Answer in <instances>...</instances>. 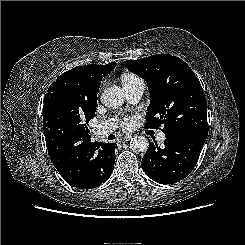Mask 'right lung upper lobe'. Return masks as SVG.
I'll return each mask as SVG.
<instances>
[{"label":"right lung upper lobe","instance_id":"cb5924a9","mask_svg":"<svg viewBox=\"0 0 245 245\" xmlns=\"http://www.w3.org/2000/svg\"><path fill=\"white\" fill-rule=\"evenodd\" d=\"M116 63L75 67L51 84L44 98L45 140H68L73 144L90 138L86 124L95 117L101 79Z\"/></svg>","mask_w":245,"mask_h":245}]
</instances>
